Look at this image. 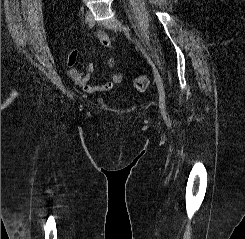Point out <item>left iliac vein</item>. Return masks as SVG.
<instances>
[{"label": "left iliac vein", "mask_w": 245, "mask_h": 239, "mask_svg": "<svg viewBox=\"0 0 245 239\" xmlns=\"http://www.w3.org/2000/svg\"><path fill=\"white\" fill-rule=\"evenodd\" d=\"M106 26L116 32H121L123 31V26L120 23V21H118L117 19H112L111 21L106 23ZM153 73H154V78L157 84V88H158V94H159V107L161 109L162 112H164L165 110V91H164V87H163V82L159 79L158 77V73L155 69H153Z\"/></svg>", "instance_id": "1"}]
</instances>
